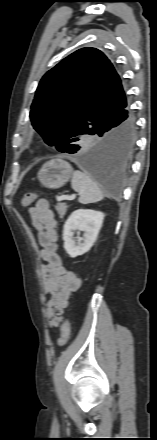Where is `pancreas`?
Here are the masks:
<instances>
[{"mask_svg": "<svg viewBox=\"0 0 157 440\" xmlns=\"http://www.w3.org/2000/svg\"><path fill=\"white\" fill-rule=\"evenodd\" d=\"M55 208L59 214V217L63 218L67 211V205L65 203H58Z\"/></svg>", "mask_w": 157, "mask_h": 440, "instance_id": "pancreas-1", "label": "pancreas"}]
</instances>
